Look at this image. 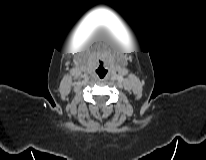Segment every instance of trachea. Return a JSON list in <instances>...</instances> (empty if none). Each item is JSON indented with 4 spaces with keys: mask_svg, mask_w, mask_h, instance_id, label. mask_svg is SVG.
Masks as SVG:
<instances>
[{
    "mask_svg": "<svg viewBox=\"0 0 206 160\" xmlns=\"http://www.w3.org/2000/svg\"><path fill=\"white\" fill-rule=\"evenodd\" d=\"M105 73H106V72H104L103 74H101V73L98 72L100 78H103V77L105 76Z\"/></svg>",
    "mask_w": 206,
    "mask_h": 160,
    "instance_id": "obj_1",
    "label": "trachea"
}]
</instances>
